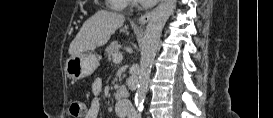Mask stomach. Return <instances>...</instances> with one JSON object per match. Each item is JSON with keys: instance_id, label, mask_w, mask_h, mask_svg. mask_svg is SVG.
Returning a JSON list of instances; mask_svg holds the SVG:
<instances>
[{"instance_id": "0dacf381", "label": "stomach", "mask_w": 273, "mask_h": 118, "mask_svg": "<svg viewBox=\"0 0 273 118\" xmlns=\"http://www.w3.org/2000/svg\"><path fill=\"white\" fill-rule=\"evenodd\" d=\"M98 65L99 61L95 54L83 52L67 59L65 72L69 78L80 80L90 76Z\"/></svg>"}]
</instances>
